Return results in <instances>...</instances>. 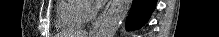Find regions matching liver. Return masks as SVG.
<instances>
[{
  "mask_svg": "<svg viewBox=\"0 0 219 37\" xmlns=\"http://www.w3.org/2000/svg\"><path fill=\"white\" fill-rule=\"evenodd\" d=\"M77 35H80L79 37H87L86 35V33H77Z\"/></svg>",
  "mask_w": 219,
  "mask_h": 37,
  "instance_id": "1",
  "label": "liver"
}]
</instances>
